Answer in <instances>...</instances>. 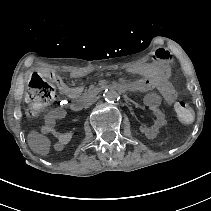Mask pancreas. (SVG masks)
<instances>
[{"instance_id": "pancreas-1", "label": "pancreas", "mask_w": 211, "mask_h": 211, "mask_svg": "<svg viewBox=\"0 0 211 211\" xmlns=\"http://www.w3.org/2000/svg\"><path fill=\"white\" fill-rule=\"evenodd\" d=\"M94 87H91L89 90H86L84 93H83V97L85 98H88V95H89V92L93 89Z\"/></svg>"}]
</instances>
